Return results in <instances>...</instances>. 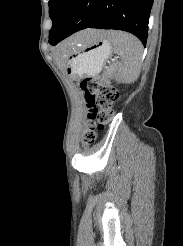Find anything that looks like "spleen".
<instances>
[{
    "instance_id": "obj_1",
    "label": "spleen",
    "mask_w": 183,
    "mask_h": 246,
    "mask_svg": "<svg viewBox=\"0 0 183 246\" xmlns=\"http://www.w3.org/2000/svg\"><path fill=\"white\" fill-rule=\"evenodd\" d=\"M105 36L112 43L114 52L121 57V64L113 77L128 83L134 82L141 71L143 55L141 41L123 31H108Z\"/></svg>"
}]
</instances>
